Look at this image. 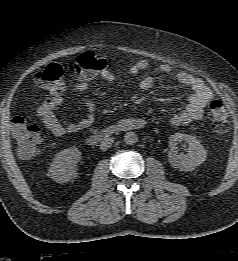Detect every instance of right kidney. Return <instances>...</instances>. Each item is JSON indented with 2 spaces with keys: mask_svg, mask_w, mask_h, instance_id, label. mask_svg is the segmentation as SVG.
<instances>
[{
  "mask_svg": "<svg viewBox=\"0 0 238 261\" xmlns=\"http://www.w3.org/2000/svg\"><path fill=\"white\" fill-rule=\"evenodd\" d=\"M81 155V152L76 147L60 151L50 165V178L58 183L70 181L76 175L77 163L80 161Z\"/></svg>",
  "mask_w": 238,
  "mask_h": 261,
  "instance_id": "1",
  "label": "right kidney"
}]
</instances>
